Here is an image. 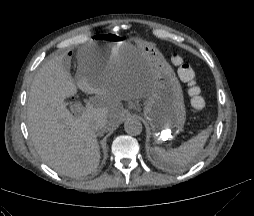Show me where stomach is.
<instances>
[{
	"label": "stomach",
	"instance_id": "obj_1",
	"mask_svg": "<svg viewBox=\"0 0 254 216\" xmlns=\"http://www.w3.org/2000/svg\"><path fill=\"white\" fill-rule=\"evenodd\" d=\"M87 75L145 63L152 75V89L146 99L143 115L150 124L154 142L172 140L184 128L186 108L183 91L172 67L150 43H133L113 34L96 35L92 42Z\"/></svg>",
	"mask_w": 254,
	"mask_h": 216
}]
</instances>
